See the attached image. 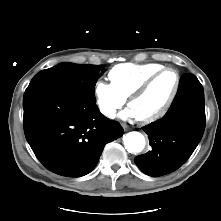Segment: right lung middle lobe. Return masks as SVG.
<instances>
[{
	"label": "right lung middle lobe",
	"instance_id": "1",
	"mask_svg": "<svg viewBox=\"0 0 221 221\" xmlns=\"http://www.w3.org/2000/svg\"><path fill=\"white\" fill-rule=\"evenodd\" d=\"M103 68V65L61 63L36 74L25 93L49 91L95 102L94 87Z\"/></svg>",
	"mask_w": 221,
	"mask_h": 221
}]
</instances>
